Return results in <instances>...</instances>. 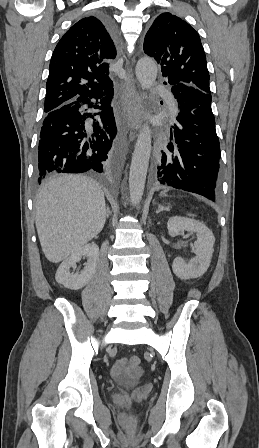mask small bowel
Returning a JSON list of instances; mask_svg holds the SVG:
<instances>
[{"instance_id":"1","label":"small bowel","mask_w":259,"mask_h":448,"mask_svg":"<svg viewBox=\"0 0 259 448\" xmlns=\"http://www.w3.org/2000/svg\"><path fill=\"white\" fill-rule=\"evenodd\" d=\"M111 373L118 378H134L141 374V369L130 368L128 366V360L126 358L118 360L112 367Z\"/></svg>"}]
</instances>
